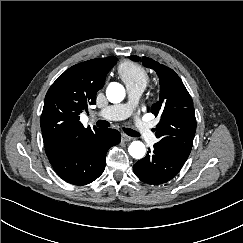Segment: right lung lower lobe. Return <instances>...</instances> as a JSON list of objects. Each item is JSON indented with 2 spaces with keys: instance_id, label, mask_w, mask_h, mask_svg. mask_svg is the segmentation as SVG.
<instances>
[{
  "instance_id": "98d812e1",
  "label": "right lung lower lobe",
  "mask_w": 243,
  "mask_h": 243,
  "mask_svg": "<svg viewBox=\"0 0 243 243\" xmlns=\"http://www.w3.org/2000/svg\"><path fill=\"white\" fill-rule=\"evenodd\" d=\"M119 142L117 130L101 129L77 142L46 150V153L63 180L74 185H86L103 173L108 149Z\"/></svg>"
}]
</instances>
